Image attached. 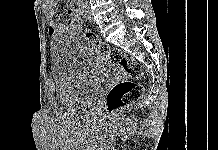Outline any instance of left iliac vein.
Listing matches in <instances>:
<instances>
[{
    "label": "left iliac vein",
    "mask_w": 218,
    "mask_h": 150,
    "mask_svg": "<svg viewBox=\"0 0 218 150\" xmlns=\"http://www.w3.org/2000/svg\"><path fill=\"white\" fill-rule=\"evenodd\" d=\"M84 12V17L87 19V20H89L90 22H92L93 21V17H92V15H91V12H90V9H89V6L86 4V5H84V10H83Z\"/></svg>",
    "instance_id": "obj_1"
}]
</instances>
